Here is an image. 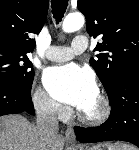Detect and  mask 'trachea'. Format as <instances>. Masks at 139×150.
I'll return each instance as SVG.
<instances>
[{
    "mask_svg": "<svg viewBox=\"0 0 139 150\" xmlns=\"http://www.w3.org/2000/svg\"><path fill=\"white\" fill-rule=\"evenodd\" d=\"M68 6V0H51L52 13L55 20L60 22Z\"/></svg>",
    "mask_w": 139,
    "mask_h": 150,
    "instance_id": "obj_1",
    "label": "trachea"
}]
</instances>
